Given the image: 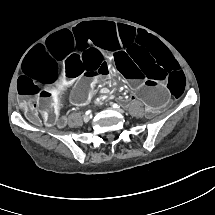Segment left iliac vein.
Masks as SVG:
<instances>
[{"label": "left iliac vein", "instance_id": "1", "mask_svg": "<svg viewBox=\"0 0 215 215\" xmlns=\"http://www.w3.org/2000/svg\"><path fill=\"white\" fill-rule=\"evenodd\" d=\"M119 113L124 114V111L122 109H116Z\"/></svg>", "mask_w": 215, "mask_h": 215}]
</instances>
